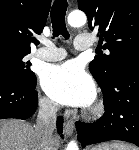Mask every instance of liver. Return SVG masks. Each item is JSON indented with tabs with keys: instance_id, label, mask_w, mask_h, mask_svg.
Instances as JSON below:
<instances>
[{
	"instance_id": "6515ba94",
	"label": "liver",
	"mask_w": 139,
	"mask_h": 150,
	"mask_svg": "<svg viewBox=\"0 0 139 150\" xmlns=\"http://www.w3.org/2000/svg\"><path fill=\"white\" fill-rule=\"evenodd\" d=\"M59 145L54 138L55 150ZM0 150H39L34 128L22 120H0Z\"/></svg>"
}]
</instances>
